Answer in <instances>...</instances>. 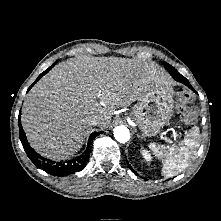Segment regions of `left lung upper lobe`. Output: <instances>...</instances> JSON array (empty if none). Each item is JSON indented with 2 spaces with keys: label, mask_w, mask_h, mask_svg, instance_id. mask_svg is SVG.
<instances>
[{
  "label": "left lung upper lobe",
  "mask_w": 221,
  "mask_h": 221,
  "mask_svg": "<svg viewBox=\"0 0 221 221\" xmlns=\"http://www.w3.org/2000/svg\"><path fill=\"white\" fill-rule=\"evenodd\" d=\"M163 64H164L165 68L168 70V72L171 74L172 77H174L176 75H180V73L174 67H172L170 64H168L164 61H163Z\"/></svg>",
  "instance_id": "5c2ea615"
}]
</instances>
